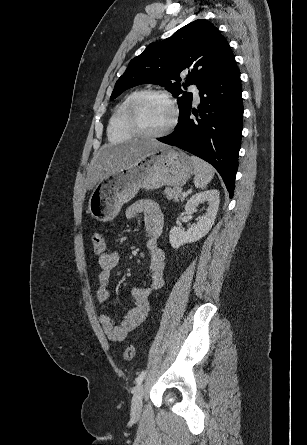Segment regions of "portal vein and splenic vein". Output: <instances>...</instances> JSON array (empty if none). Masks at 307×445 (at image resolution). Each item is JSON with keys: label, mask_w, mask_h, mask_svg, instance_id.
<instances>
[{"label": "portal vein and splenic vein", "mask_w": 307, "mask_h": 445, "mask_svg": "<svg viewBox=\"0 0 307 445\" xmlns=\"http://www.w3.org/2000/svg\"><path fill=\"white\" fill-rule=\"evenodd\" d=\"M182 196H188V192H183Z\"/></svg>", "instance_id": "18ae733b"}]
</instances>
